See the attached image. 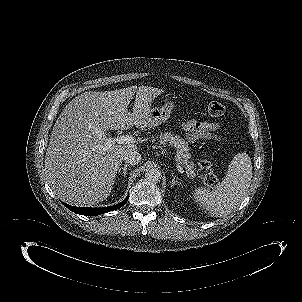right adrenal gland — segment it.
<instances>
[{
	"instance_id": "2a0ac1e0",
	"label": "right adrenal gland",
	"mask_w": 302,
	"mask_h": 302,
	"mask_svg": "<svg viewBox=\"0 0 302 302\" xmlns=\"http://www.w3.org/2000/svg\"><path fill=\"white\" fill-rule=\"evenodd\" d=\"M129 166H130L129 164H125L124 167H121V168L118 169V173H120L121 171H123V176L125 177L126 173H127V168Z\"/></svg>"
}]
</instances>
